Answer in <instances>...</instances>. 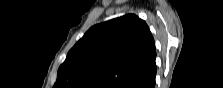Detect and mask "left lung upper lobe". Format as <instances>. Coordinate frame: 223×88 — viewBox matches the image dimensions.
<instances>
[{
    "instance_id": "5c2ea615",
    "label": "left lung upper lobe",
    "mask_w": 223,
    "mask_h": 88,
    "mask_svg": "<svg viewBox=\"0 0 223 88\" xmlns=\"http://www.w3.org/2000/svg\"><path fill=\"white\" fill-rule=\"evenodd\" d=\"M154 39L129 14L91 27L68 52L55 88H131L155 67Z\"/></svg>"
}]
</instances>
